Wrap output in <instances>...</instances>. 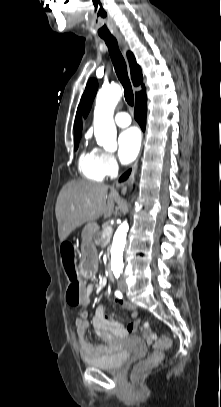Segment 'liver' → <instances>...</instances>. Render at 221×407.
Listing matches in <instances>:
<instances>
[{"instance_id":"6515ba94","label":"liver","mask_w":221,"mask_h":407,"mask_svg":"<svg viewBox=\"0 0 221 407\" xmlns=\"http://www.w3.org/2000/svg\"><path fill=\"white\" fill-rule=\"evenodd\" d=\"M117 197L114 190L108 195L105 184L81 180L63 186L55 207L60 241L64 242L72 231L86 222L92 223L100 216L110 217Z\"/></svg>"}]
</instances>
